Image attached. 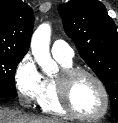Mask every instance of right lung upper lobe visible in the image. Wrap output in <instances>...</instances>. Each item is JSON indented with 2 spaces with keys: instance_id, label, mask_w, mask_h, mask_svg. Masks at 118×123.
<instances>
[{
  "instance_id": "cb5924a9",
  "label": "right lung upper lobe",
  "mask_w": 118,
  "mask_h": 123,
  "mask_svg": "<svg viewBox=\"0 0 118 123\" xmlns=\"http://www.w3.org/2000/svg\"><path fill=\"white\" fill-rule=\"evenodd\" d=\"M34 15L21 0H0V51L25 55L30 46Z\"/></svg>"
}]
</instances>
